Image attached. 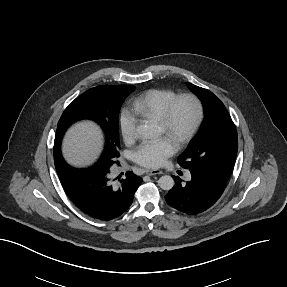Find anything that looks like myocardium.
Wrapping results in <instances>:
<instances>
[{"instance_id": "obj_1", "label": "myocardium", "mask_w": 287, "mask_h": 287, "mask_svg": "<svg viewBox=\"0 0 287 287\" xmlns=\"http://www.w3.org/2000/svg\"><path fill=\"white\" fill-rule=\"evenodd\" d=\"M188 102L193 109V116L188 127L178 136L176 145L179 148L187 145L197 132L202 120H203V105L200 99L193 93H183L175 96L166 106L162 117L158 120L162 132L171 137L174 134L175 124V110L181 102Z\"/></svg>"}]
</instances>
